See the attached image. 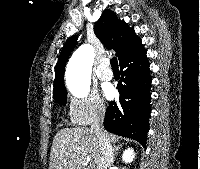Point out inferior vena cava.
I'll use <instances>...</instances> for the list:
<instances>
[{
  "label": "inferior vena cava",
  "instance_id": "obj_1",
  "mask_svg": "<svg viewBox=\"0 0 200 169\" xmlns=\"http://www.w3.org/2000/svg\"><path fill=\"white\" fill-rule=\"evenodd\" d=\"M105 117V107L98 108L91 130L96 134L100 145V158L97 162V169H111L114 162V148L104 130L103 121Z\"/></svg>",
  "mask_w": 200,
  "mask_h": 169
}]
</instances>
